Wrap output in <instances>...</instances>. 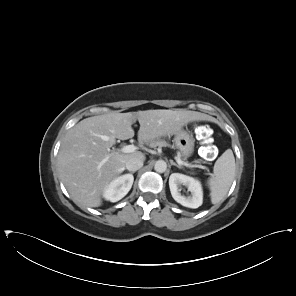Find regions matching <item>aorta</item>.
<instances>
[{
	"label": "aorta",
	"mask_w": 296,
	"mask_h": 296,
	"mask_svg": "<svg viewBox=\"0 0 296 296\" xmlns=\"http://www.w3.org/2000/svg\"><path fill=\"white\" fill-rule=\"evenodd\" d=\"M154 169L158 173H164L167 169V164L164 160H158L154 165Z\"/></svg>",
	"instance_id": "1"
}]
</instances>
